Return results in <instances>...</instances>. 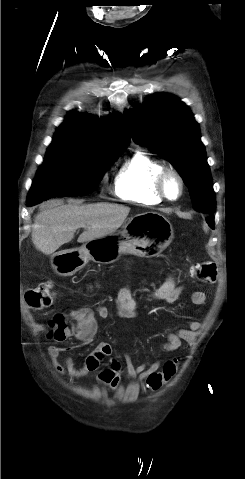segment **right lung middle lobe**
Returning a JSON list of instances; mask_svg holds the SVG:
<instances>
[{
	"mask_svg": "<svg viewBox=\"0 0 245 479\" xmlns=\"http://www.w3.org/2000/svg\"><path fill=\"white\" fill-rule=\"evenodd\" d=\"M123 150L93 149L53 138L28 194L27 203L51 197L83 196L94 191L109 165Z\"/></svg>",
	"mask_w": 245,
	"mask_h": 479,
	"instance_id": "dd1d6c3e",
	"label": "right lung middle lobe"
}]
</instances>
